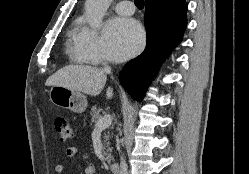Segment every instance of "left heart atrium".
<instances>
[{"label": "left heart atrium", "instance_id": "left-heart-atrium-1", "mask_svg": "<svg viewBox=\"0 0 249 174\" xmlns=\"http://www.w3.org/2000/svg\"><path fill=\"white\" fill-rule=\"evenodd\" d=\"M144 32L133 19L114 18L105 28L104 52L112 61H123L136 55L143 47Z\"/></svg>", "mask_w": 249, "mask_h": 174}]
</instances>
